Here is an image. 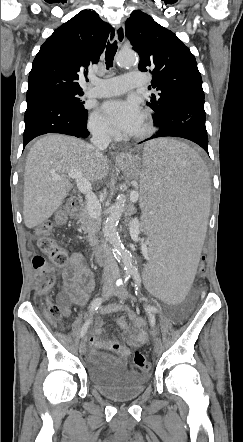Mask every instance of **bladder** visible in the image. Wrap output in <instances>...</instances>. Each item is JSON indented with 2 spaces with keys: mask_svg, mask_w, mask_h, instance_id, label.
Instances as JSON below:
<instances>
[{
  "mask_svg": "<svg viewBox=\"0 0 243 442\" xmlns=\"http://www.w3.org/2000/svg\"><path fill=\"white\" fill-rule=\"evenodd\" d=\"M87 375L102 396L117 402L139 397L148 382L146 374L122 365L117 358L106 354H97L88 360Z\"/></svg>",
  "mask_w": 243,
  "mask_h": 442,
  "instance_id": "bladder-1",
  "label": "bladder"
}]
</instances>
